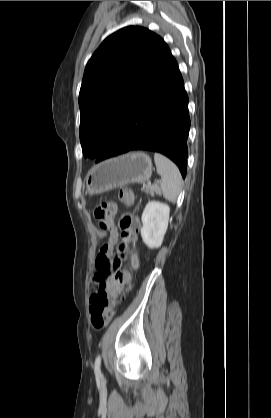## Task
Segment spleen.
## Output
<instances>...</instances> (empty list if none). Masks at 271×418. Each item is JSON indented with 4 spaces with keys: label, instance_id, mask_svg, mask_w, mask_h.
I'll use <instances>...</instances> for the list:
<instances>
[{
    "label": "spleen",
    "instance_id": "1",
    "mask_svg": "<svg viewBox=\"0 0 271 418\" xmlns=\"http://www.w3.org/2000/svg\"><path fill=\"white\" fill-rule=\"evenodd\" d=\"M154 161L157 172L162 177L160 193L170 202H175L182 188V176L178 167L167 157L155 153Z\"/></svg>",
    "mask_w": 271,
    "mask_h": 418
}]
</instances>
